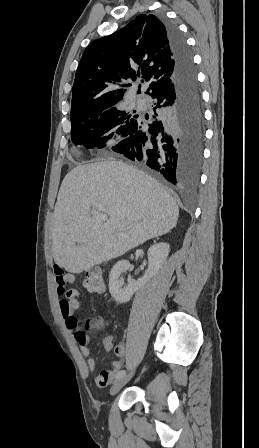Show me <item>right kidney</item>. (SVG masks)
<instances>
[{
  "instance_id": "1",
  "label": "right kidney",
  "mask_w": 259,
  "mask_h": 448,
  "mask_svg": "<svg viewBox=\"0 0 259 448\" xmlns=\"http://www.w3.org/2000/svg\"><path fill=\"white\" fill-rule=\"evenodd\" d=\"M169 248V244H164V242L151 246L148 250V270H146L143 278H139L137 282L129 278L127 286H124V278H121V276L122 274H125L127 270H130V264L128 260H119V262L115 264L113 270H111L109 276V292L113 300H115L117 304H125V302H129L133 294L139 290L140 286H144L147 280H150V278H153L155 274L160 272L162 266H164L166 262Z\"/></svg>"
}]
</instances>
